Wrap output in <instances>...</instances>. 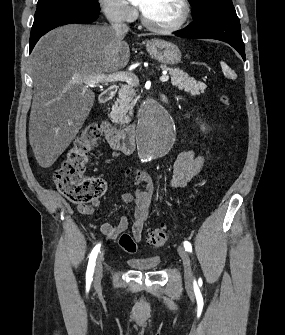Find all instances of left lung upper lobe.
<instances>
[{"label": "left lung upper lobe", "mask_w": 285, "mask_h": 335, "mask_svg": "<svg viewBox=\"0 0 285 335\" xmlns=\"http://www.w3.org/2000/svg\"><path fill=\"white\" fill-rule=\"evenodd\" d=\"M192 5L193 17L198 16L205 10L212 7L230 8L233 7L232 0H189Z\"/></svg>", "instance_id": "left-lung-upper-lobe-1"}]
</instances>
